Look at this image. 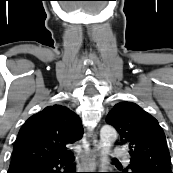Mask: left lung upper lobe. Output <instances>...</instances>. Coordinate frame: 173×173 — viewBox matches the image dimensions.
<instances>
[{
	"instance_id": "5c2ea615",
	"label": "left lung upper lobe",
	"mask_w": 173,
	"mask_h": 173,
	"mask_svg": "<svg viewBox=\"0 0 173 173\" xmlns=\"http://www.w3.org/2000/svg\"><path fill=\"white\" fill-rule=\"evenodd\" d=\"M107 123L120 134L132 157L126 170L150 173H173L166 137L158 121L132 102H120L109 112Z\"/></svg>"
}]
</instances>
